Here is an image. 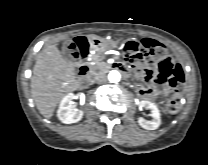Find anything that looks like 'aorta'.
<instances>
[{"instance_id": "762f6f07", "label": "aorta", "mask_w": 208, "mask_h": 165, "mask_svg": "<svg viewBox=\"0 0 208 165\" xmlns=\"http://www.w3.org/2000/svg\"><path fill=\"white\" fill-rule=\"evenodd\" d=\"M121 79V74L117 70H112L108 74V80L111 83H117Z\"/></svg>"}]
</instances>
